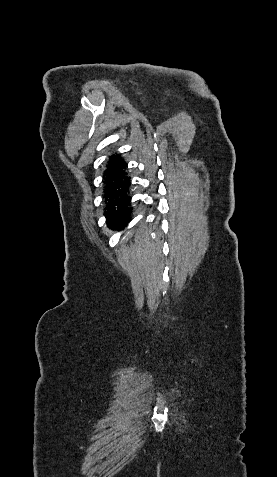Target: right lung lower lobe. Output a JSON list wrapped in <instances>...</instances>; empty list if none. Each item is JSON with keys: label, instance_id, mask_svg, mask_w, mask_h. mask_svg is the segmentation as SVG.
Here are the masks:
<instances>
[{"label": "right lung lower lobe", "instance_id": "1", "mask_svg": "<svg viewBox=\"0 0 277 477\" xmlns=\"http://www.w3.org/2000/svg\"><path fill=\"white\" fill-rule=\"evenodd\" d=\"M126 164L117 155L109 156L104 172V199L106 206L105 217L109 227L118 231L124 229L129 222L131 208L128 206L129 177L125 173Z\"/></svg>", "mask_w": 277, "mask_h": 477}]
</instances>
